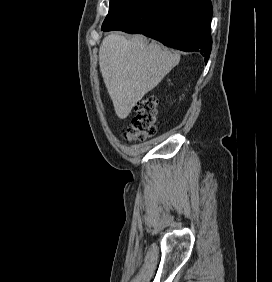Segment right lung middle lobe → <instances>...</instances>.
<instances>
[{
    "label": "right lung middle lobe",
    "instance_id": "obj_1",
    "mask_svg": "<svg viewBox=\"0 0 272 282\" xmlns=\"http://www.w3.org/2000/svg\"><path fill=\"white\" fill-rule=\"evenodd\" d=\"M137 0H110L109 12L105 18L102 28L106 27L128 8H130Z\"/></svg>",
    "mask_w": 272,
    "mask_h": 282
}]
</instances>
